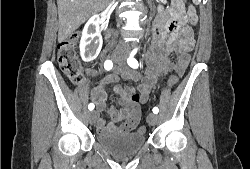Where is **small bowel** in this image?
<instances>
[{
  "instance_id": "1",
  "label": "small bowel",
  "mask_w": 250,
  "mask_h": 169,
  "mask_svg": "<svg viewBox=\"0 0 250 169\" xmlns=\"http://www.w3.org/2000/svg\"><path fill=\"white\" fill-rule=\"evenodd\" d=\"M188 22L196 24L197 17L195 13L194 15L189 14ZM182 25V16L175 12L167 32L164 31L167 26L164 27L162 24L155 29L151 53L146 61L144 76H140L132 70H124L122 72L115 71L98 80L92 92V100L96 105L98 113H101L106 106L107 92L105 87L108 84H115V93L118 95V102L120 104L119 110H111L112 122L107 124L105 118L102 116L98 119L97 131L100 135L129 133L134 130L141 119L140 103H146L149 100L150 93L156 87L158 81L170 75V72H181L182 76L189 63L190 53L194 47L191 30L186 29L185 33L177 36L176 33L179 32ZM166 35L174 36L172 43L164 41ZM173 53L177 54L175 62L171 61ZM88 74L92 77H97V72L93 69L88 70ZM121 77L138 83L137 91L142 95L138 101H133L131 98V92L135 90L120 84ZM119 122L122 123L118 124Z\"/></svg>"
}]
</instances>
